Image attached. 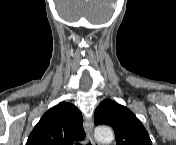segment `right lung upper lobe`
Instances as JSON below:
<instances>
[{"label": "right lung upper lobe", "instance_id": "1", "mask_svg": "<svg viewBox=\"0 0 176 145\" xmlns=\"http://www.w3.org/2000/svg\"><path fill=\"white\" fill-rule=\"evenodd\" d=\"M83 118L74 105L61 102L49 109L30 133L27 145H71L85 137Z\"/></svg>", "mask_w": 176, "mask_h": 145}]
</instances>
